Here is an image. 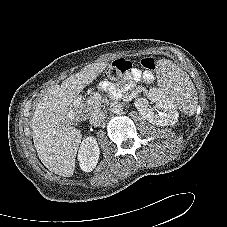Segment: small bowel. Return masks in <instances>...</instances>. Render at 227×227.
I'll return each mask as SVG.
<instances>
[{"label": "small bowel", "instance_id": "1", "mask_svg": "<svg viewBox=\"0 0 227 227\" xmlns=\"http://www.w3.org/2000/svg\"><path fill=\"white\" fill-rule=\"evenodd\" d=\"M132 76L135 80H144V81H151L153 79V75L151 73H142L138 69H134L132 72Z\"/></svg>", "mask_w": 227, "mask_h": 227}]
</instances>
